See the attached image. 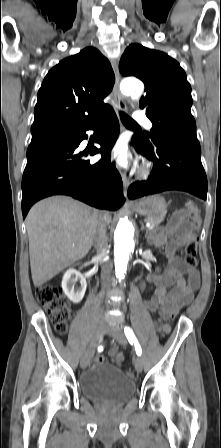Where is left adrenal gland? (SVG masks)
I'll use <instances>...</instances> for the list:
<instances>
[{
	"mask_svg": "<svg viewBox=\"0 0 221 448\" xmlns=\"http://www.w3.org/2000/svg\"><path fill=\"white\" fill-rule=\"evenodd\" d=\"M141 229H145V226L143 223H141ZM148 235V230H146V236Z\"/></svg>",
	"mask_w": 221,
	"mask_h": 448,
	"instance_id": "1",
	"label": "left adrenal gland"
}]
</instances>
